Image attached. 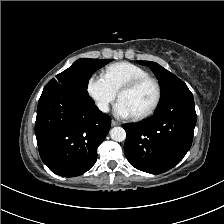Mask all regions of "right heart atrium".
Instances as JSON below:
<instances>
[{
	"instance_id": "1",
	"label": "right heart atrium",
	"mask_w": 224,
	"mask_h": 224,
	"mask_svg": "<svg viewBox=\"0 0 224 224\" xmlns=\"http://www.w3.org/2000/svg\"><path fill=\"white\" fill-rule=\"evenodd\" d=\"M87 93L97 109L103 113L109 111L116 98V92L110 87L102 75H91L87 80Z\"/></svg>"
}]
</instances>
